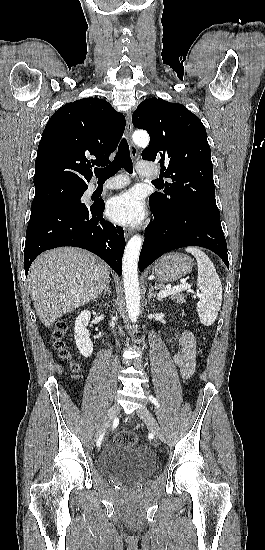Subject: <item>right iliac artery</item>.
Masks as SVG:
<instances>
[{
  "label": "right iliac artery",
  "instance_id": "obj_1",
  "mask_svg": "<svg viewBox=\"0 0 265 550\" xmlns=\"http://www.w3.org/2000/svg\"><path fill=\"white\" fill-rule=\"evenodd\" d=\"M103 435H104V434H102V435L99 437L98 441H97V445H98V446H100V444H101V441H102V439H103Z\"/></svg>",
  "mask_w": 265,
  "mask_h": 550
}]
</instances>
